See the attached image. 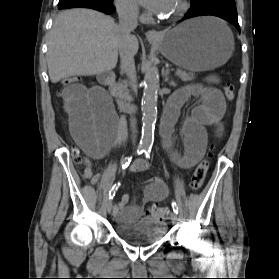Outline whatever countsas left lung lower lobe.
<instances>
[{"label":"left lung lower lobe","instance_id":"0a47b994","mask_svg":"<svg viewBox=\"0 0 279 279\" xmlns=\"http://www.w3.org/2000/svg\"><path fill=\"white\" fill-rule=\"evenodd\" d=\"M202 15L220 17L233 24L240 32L234 0H193L191 10L185 14L182 20Z\"/></svg>","mask_w":279,"mask_h":279}]
</instances>
